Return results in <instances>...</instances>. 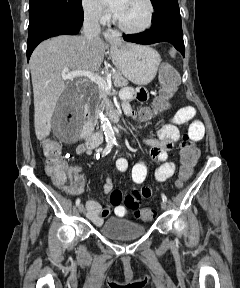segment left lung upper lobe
I'll return each instance as SVG.
<instances>
[{"label":"left lung upper lobe","instance_id":"obj_1","mask_svg":"<svg viewBox=\"0 0 240 288\" xmlns=\"http://www.w3.org/2000/svg\"><path fill=\"white\" fill-rule=\"evenodd\" d=\"M155 13L152 22L164 19H181L177 0H151Z\"/></svg>","mask_w":240,"mask_h":288}]
</instances>
